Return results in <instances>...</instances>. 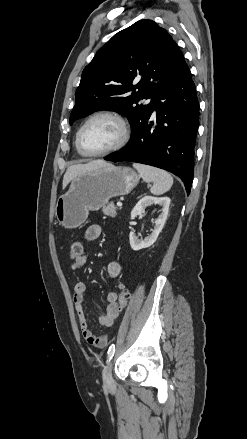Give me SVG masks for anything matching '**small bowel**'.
Returning <instances> with one entry per match:
<instances>
[{
  "mask_svg": "<svg viewBox=\"0 0 247 439\" xmlns=\"http://www.w3.org/2000/svg\"><path fill=\"white\" fill-rule=\"evenodd\" d=\"M102 235V227L99 224L90 225L85 231V238L88 241L97 240ZM89 256L88 254H83L77 258L71 265V269L76 271L82 268ZM121 266L117 261H111L107 265V274L110 278H117L120 275ZM86 291V285L79 282L74 287L73 292V304L78 314L79 325L81 329L82 336L84 340L95 347L104 348L108 344V336L106 335H95L88 326V320L84 312V294ZM107 308L106 313L98 318L100 325L104 327H110L114 324L118 317V295L115 292H109L107 295Z\"/></svg>",
  "mask_w": 247,
  "mask_h": 439,
  "instance_id": "c3829d8e",
  "label": "small bowel"
}]
</instances>
